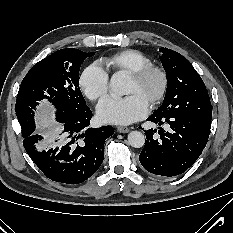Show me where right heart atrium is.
Wrapping results in <instances>:
<instances>
[{
    "label": "right heart atrium",
    "instance_id": "d8ad5b80",
    "mask_svg": "<svg viewBox=\"0 0 233 233\" xmlns=\"http://www.w3.org/2000/svg\"><path fill=\"white\" fill-rule=\"evenodd\" d=\"M79 86L88 99L97 100L108 91L109 74L99 63H92L82 71Z\"/></svg>",
    "mask_w": 233,
    "mask_h": 233
}]
</instances>
